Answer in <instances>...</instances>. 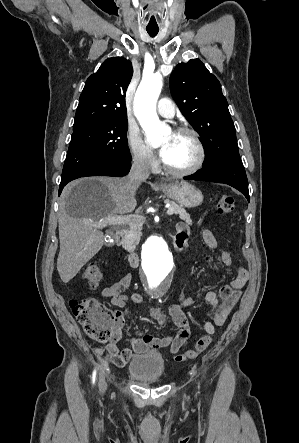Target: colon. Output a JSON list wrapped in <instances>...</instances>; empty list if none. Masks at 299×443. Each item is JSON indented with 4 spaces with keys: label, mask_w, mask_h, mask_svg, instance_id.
I'll return each instance as SVG.
<instances>
[{
    "label": "colon",
    "mask_w": 299,
    "mask_h": 443,
    "mask_svg": "<svg viewBox=\"0 0 299 443\" xmlns=\"http://www.w3.org/2000/svg\"><path fill=\"white\" fill-rule=\"evenodd\" d=\"M216 209L220 215L232 213L234 210V198L231 195H222L218 200ZM82 277L92 287L99 285L103 279V273L98 262H89L83 271ZM70 309L89 338L98 343H107L113 339V329L117 322V315L100 301L95 298L72 300L70 302ZM211 342V336L205 335L197 340L194 348L177 355L175 360L177 362H185L195 359L209 347Z\"/></svg>",
    "instance_id": "colon-1"
}]
</instances>
